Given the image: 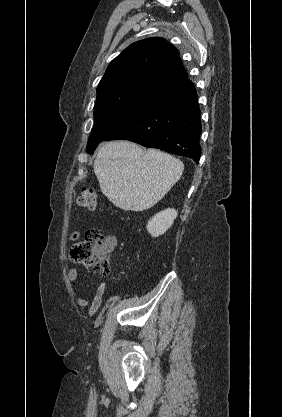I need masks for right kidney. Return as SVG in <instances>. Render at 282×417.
Returning <instances> with one entry per match:
<instances>
[{
    "mask_svg": "<svg viewBox=\"0 0 282 417\" xmlns=\"http://www.w3.org/2000/svg\"><path fill=\"white\" fill-rule=\"evenodd\" d=\"M178 211L176 209H165V211H160L157 215H154L146 225L148 233L151 237H159V235H164L174 223Z\"/></svg>",
    "mask_w": 282,
    "mask_h": 417,
    "instance_id": "obj_1",
    "label": "right kidney"
}]
</instances>
